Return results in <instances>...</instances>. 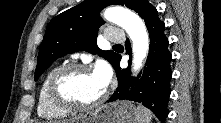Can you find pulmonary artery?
<instances>
[{
  "label": "pulmonary artery",
  "mask_w": 221,
  "mask_h": 123,
  "mask_svg": "<svg viewBox=\"0 0 221 123\" xmlns=\"http://www.w3.org/2000/svg\"><path fill=\"white\" fill-rule=\"evenodd\" d=\"M106 39L112 43H120L125 40V35L121 29L114 28L107 31Z\"/></svg>",
  "instance_id": "e3ab8cb5"
}]
</instances>
